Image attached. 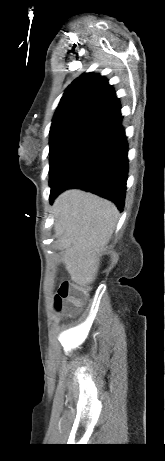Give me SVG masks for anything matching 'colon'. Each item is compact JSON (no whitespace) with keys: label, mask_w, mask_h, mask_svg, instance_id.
<instances>
[{"label":"colon","mask_w":165,"mask_h":461,"mask_svg":"<svg viewBox=\"0 0 165 461\" xmlns=\"http://www.w3.org/2000/svg\"><path fill=\"white\" fill-rule=\"evenodd\" d=\"M88 296L86 287L77 285L72 280H63L54 298V308L57 312L75 314Z\"/></svg>","instance_id":"1"}]
</instances>
